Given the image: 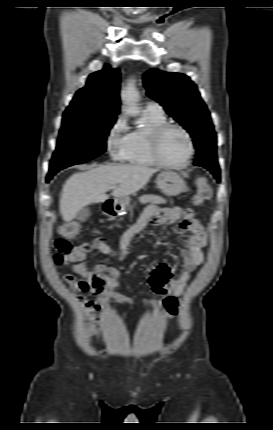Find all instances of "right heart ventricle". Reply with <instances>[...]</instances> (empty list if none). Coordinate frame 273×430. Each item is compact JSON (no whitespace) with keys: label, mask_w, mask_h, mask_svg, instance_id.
I'll list each match as a JSON object with an SVG mask.
<instances>
[{"label":"right heart ventricle","mask_w":273,"mask_h":430,"mask_svg":"<svg viewBox=\"0 0 273 430\" xmlns=\"http://www.w3.org/2000/svg\"><path fill=\"white\" fill-rule=\"evenodd\" d=\"M144 127L129 133L130 145L125 161L136 167H154L150 152V135L154 128L166 122L164 113L145 110L141 117Z\"/></svg>","instance_id":"obj_1"}]
</instances>
